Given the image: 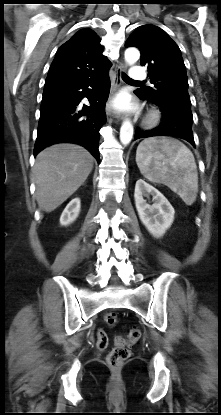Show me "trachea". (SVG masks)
Segmentation results:
<instances>
[{
	"label": "trachea",
	"mask_w": 221,
	"mask_h": 415,
	"mask_svg": "<svg viewBox=\"0 0 221 415\" xmlns=\"http://www.w3.org/2000/svg\"><path fill=\"white\" fill-rule=\"evenodd\" d=\"M123 80L125 82H129V83H138V84H141L142 83V82L134 81V80L130 79L126 74H123Z\"/></svg>",
	"instance_id": "obj_1"
}]
</instances>
